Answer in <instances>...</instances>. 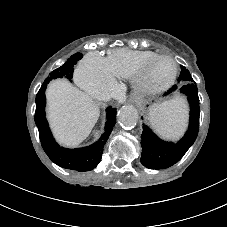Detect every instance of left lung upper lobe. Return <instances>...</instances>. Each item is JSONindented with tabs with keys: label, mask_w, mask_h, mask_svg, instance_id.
<instances>
[{
	"label": "left lung upper lobe",
	"mask_w": 227,
	"mask_h": 227,
	"mask_svg": "<svg viewBox=\"0 0 227 227\" xmlns=\"http://www.w3.org/2000/svg\"><path fill=\"white\" fill-rule=\"evenodd\" d=\"M193 82L190 72L184 67L181 66V72L178 77V82Z\"/></svg>",
	"instance_id": "1"
}]
</instances>
